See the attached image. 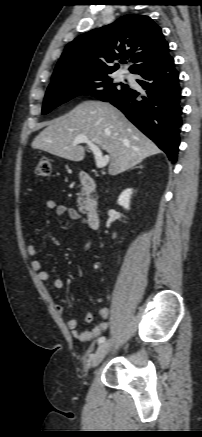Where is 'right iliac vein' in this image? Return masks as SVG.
<instances>
[{"label":"right iliac vein","instance_id":"obj_1","mask_svg":"<svg viewBox=\"0 0 202 437\" xmlns=\"http://www.w3.org/2000/svg\"><path fill=\"white\" fill-rule=\"evenodd\" d=\"M110 347H111L110 341H106L98 347V349L96 350L95 354L93 355V357L91 359V366L92 367L98 366L103 361V359L107 355Z\"/></svg>","mask_w":202,"mask_h":437}]
</instances>
